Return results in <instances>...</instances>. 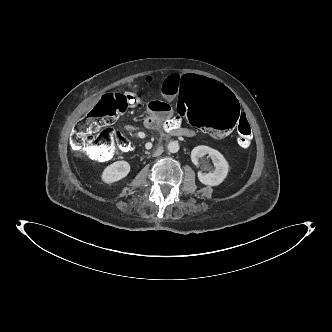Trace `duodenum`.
<instances>
[{"label": "duodenum", "instance_id": "1", "mask_svg": "<svg viewBox=\"0 0 332 332\" xmlns=\"http://www.w3.org/2000/svg\"><path fill=\"white\" fill-rule=\"evenodd\" d=\"M183 136H186L185 131L182 128L176 126H165L162 129L161 133V137L163 139H169L172 137H183Z\"/></svg>", "mask_w": 332, "mask_h": 332}]
</instances>
